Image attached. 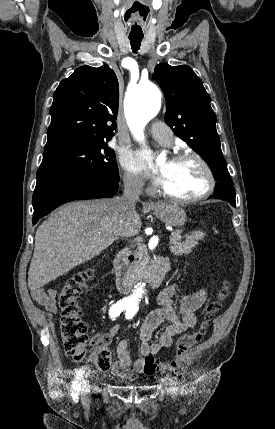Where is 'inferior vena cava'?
Wrapping results in <instances>:
<instances>
[{
  "label": "inferior vena cava",
  "instance_id": "602c4592",
  "mask_svg": "<svg viewBox=\"0 0 275 429\" xmlns=\"http://www.w3.org/2000/svg\"><path fill=\"white\" fill-rule=\"evenodd\" d=\"M123 182V194L117 197V210L122 216H128L135 211V203L142 192L143 183L131 176L125 177Z\"/></svg>",
  "mask_w": 275,
  "mask_h": 429
}]
</instances>
